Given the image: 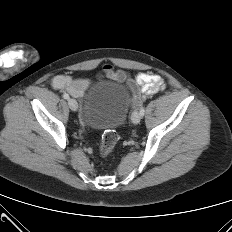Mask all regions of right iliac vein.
Segmentation results:
<instances>
[{
	"label": "right iliac vein",
	"mask_w": 232,
	"mask_h": 232,
	"mask_svg": "<svg viewBox=\"0 0 232 232\" xmlns=\"http://www.w3.org/2000/svg\"><path fill=\"white\" fill-rule=\"evenodd\" d=\"M68 105H69V107H70V109L72 111H77V109H78V103H77V101L75 99L70 98L68 100Z\"/></svg>",
	"instance_id": "obj_1"
}]
</instances>
